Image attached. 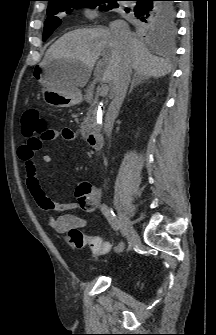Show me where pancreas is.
Instances as JSON below:
<instances>
[{
    "label": "pancreas",
    "instance_id": "1",
    "mask_svg": "<svg viewBox=\"0 0 216 335\" xmlns=\"http://www.w3.org/2000/svg\"><path fill=\"white\" fill-rule=\"evenodd\" d=\"M96 113L97 108H90L86 114V117L83 119L81 124V134L84 136L86 133L91 131V129L96 127Z\"/></svg>",
    "mask_w": 216,
    "mask_h": 335
}]
</instances>
